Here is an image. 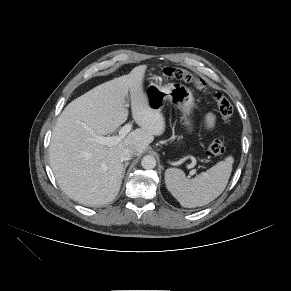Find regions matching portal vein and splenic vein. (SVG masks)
Returning <instances> with one entry per match:
<instances>
[{"label": "portal vein and splenic vein", "mask_w": 291, "mask_h": 291, "mask_svg": "<svg viewBox=\"0 0 291 291\" xmlns=\"http://www.w3.org/2000/svg\"><path fill=\"white\" fill-rule=\"evenodd\" d=\"M131 129L132 124L128 123L119 130V135L111 137L96 136L95 141L103 145L111 146L122 140L131 131ZM193 174H195L194 170L190 172V175Z\"/></svg>", "instance_id": "18ae733b"}]
</instances>
